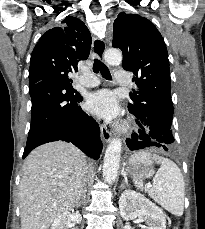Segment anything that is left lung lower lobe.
I'll return each mask as SVG.
<instances>
[{
	"label": "left lung lower lobe",
	"instance_id": "obj_1",
	"mask_svg": "<svg viewBox=\"0 0 205 229\" xmlns=\"http://www.w3.org/2000/svg\"><path fill=\"white\" fill-rule=\"evenodd\" d=\"M137 118V124L140 127L138 133H133L131 139L126 140L130 150L142 149L149 146L163 147L168 151L167 144L174 138L170 131L166 132L167 126H159L149 121H144L140 117L129 110ZM172 131V130H171Z\"/></svg>",
	"mask_w": 205,
	"mask_h": 229
}]
</instances>
